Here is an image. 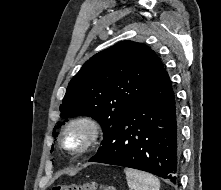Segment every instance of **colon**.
<instances>
[{
	"label": "colon",
	"instance_id": "colon-1",
	"mask_svg": "<svg viewBox=\"0 0 221 190\" xmlns=\"http://www.w3.org/2000/svg\"><path fill=\"white\" fill-rule=\"evenodd\" d=\"M98 185L94 182L84 184H55L52 190H97ZM104 190H113L112 188H105Z\"/></svg>",
	"mask_w": 221,
	"mask_h": 190
}]
</instances>
